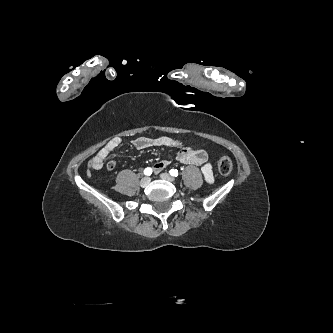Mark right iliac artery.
I'll list each match as a JSON object with an SVG mask.
<instances>
[{
    "instance_id": "obj_1",
    "label": "right iliac artery",
    "mask_w": 333,
    "mask_h": 333,
    "mask_svg": "<svg viewBox=\"0 0 333 333\" xmlns=\"http://www.w3.org/2000/svg\"><path fill=\"white\" fill-rule=\"evenodd\" d=\"M144 174H145L146 176H150V175L152 174V169H151L150 167L146 168V169L144 170Z\"/></svg>"
}]
</instances>
